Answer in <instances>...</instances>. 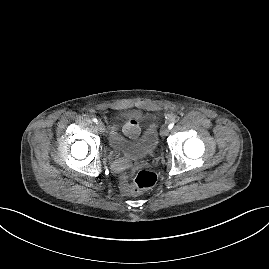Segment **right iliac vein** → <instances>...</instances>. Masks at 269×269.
<instances>
[{
	"instance_id": "63e3f726",
	"label": "right iliac vein",
	"mask_w": 269,
	"mask_h": 269,
	"mask_svg": "<svg viewBox=\"0 0 269 269\" xmlns=\"http://www.w3.org/2000/svg\"><path fill=\"white\" fill-rule=\"evenodd\" d=\"M97 128L100 132H104L105 131V126L102 122H98L97 123Z\"/></svg>"
}]
</instances>
